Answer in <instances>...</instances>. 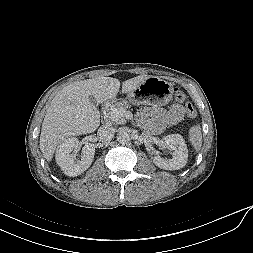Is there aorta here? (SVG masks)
<instances>
[{
    "mask_svg": "<svg viewBox=\"0 0 253 253\" xmlns=\"http://www.w3.org/2000/svg\"><path fill=\"white\" fill-rule=\"evenodd\" d=\"M117 141L120 144H126L130 141V136L126 131H121L117 135Z\"/></svg>",
    "mask_w": 253,
    "mask_h": 253,
    "instance_id": "aorta-1",
    "label": "aorta"
}]
</instances>
